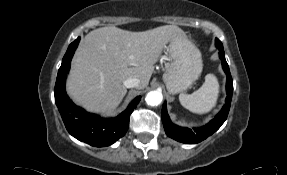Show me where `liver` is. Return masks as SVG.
Instances as JSON below:
<instances>
[{
    "label": "liver",
    "instance_id": "6515ba94",
    "mask_svg": "<svg viewBox=\"0 0 287 175\" xmlns=\"http://www.w3.org/2000/svg\"><path fill=\"white\" fill-rule=\"evenodd\" d=\"M182 34L175 25L142 32L108 26L89 32L72 60L68 94L91 112H113L127 93L124 81L137 78L139 88L147 87L165 45Z\"/></svg>",
    "mask_w": 287,
    "mask_h": 175
}]
</instances>
